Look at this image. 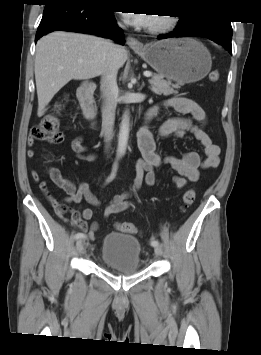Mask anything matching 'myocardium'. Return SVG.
I'll return each mask as SVG.
<instances>
[{
    "instance_id": "f54148a6",
    "label": "myocardium",
    "mask_w": 261,
    "mask_h": 355,
    "mask_svg": "<svg viewBox=\"0 0 261 355\" xmlns=\"http://www.w3.org/2000/svg\"><path fill=\"white\" fill-rule=\"evenodd\" d=\"M176 23L177 19L174 15H162L149 31L152 33H164L174 28Z\"/></svg>"
}]
</instances>
